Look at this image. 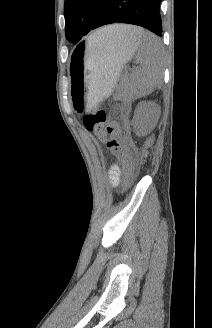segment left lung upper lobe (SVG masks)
<instances>
[{"mask_svg":"<svg viewBox=\"0 0 212 328\" xmlns=\"http://www.w3.org/2000/svg\"><path fill=\"white\" fill-rule=\"evenodd\" d=\"M103 0H65V33L70 42L77 43L89 33Z\"/></svg>","mask_w":212,"mask_h":328,"instance_id":"obj_1","label":"left lung upper lobe"}]
</instances>
